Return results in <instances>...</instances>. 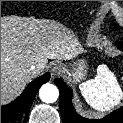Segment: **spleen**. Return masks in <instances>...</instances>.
Here are the masks:
<instances>
[{
  "label": "spleen",
  "instance_id": "spleen-1",
  "mask_svg": "<svg viewBox=\"0 0 123 123\" xmlns=\"http://www.w3.org/2000/svg\"><path fill=\"white\" fill-rule=\"evenodd\" d=\"M79 88L86 102L98 111L117 106L123 98L117 78L105 65L98 66L94 79L81 83Z\"/></svg>",
  "mask_w": 123,
  "mask_h": 123
}]
</instances>
